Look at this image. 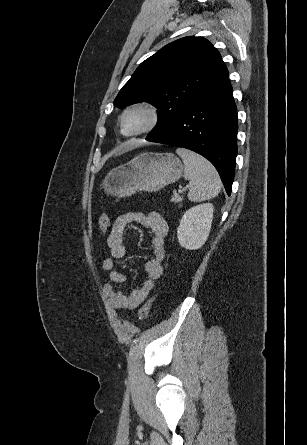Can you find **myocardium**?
<instances>
[{"instance_id":"1","label":"myocardium","mask_w":307,"mask_h":445,"mask_svg":"<svg viewBox=\"0 0 307 445\" xmlns=\"http://www.w3.org/2000/svg\"><path fill=\"white\" fill-rule=\"evenodd\" d=\"M134 108L147 109L151 114V121H150L149 125L147 127H145L144 129L139 130L133 134H126L123 130V122H124L126 114L131 109H134ZM161 122H162V111H161L160 107L157 104H155L154 102L141 100V101H137V102L130 104L123 111L122 116L120 118V132L125 137H136V136L147 134V133H150V132L156 130L160 126Z\"/></svg>"}]
</instances>
